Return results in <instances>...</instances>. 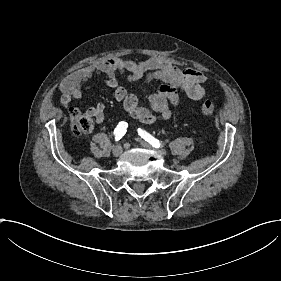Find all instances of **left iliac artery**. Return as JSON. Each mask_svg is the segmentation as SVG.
I'll return each instance as SVG.
<instances>
[{
    "instance_id": "1",
    "label": "left iliac artery",
    "mask_w": 281,
    "mask_h": 281,
    "mask_svg": "<svg viewBox=\"0 0 281 281\" xmlns=\"http://www.w3.org/2000/svg\"><path fill=\"white\" fill-rule=\"evenodd\" d=\"M139 135L144 138L147 142H149L153 147L159 148L160 147V142L159 140L155 139L153 136H151L149 133L142 129H138Z\"/></svg>"
}]
</instances>
